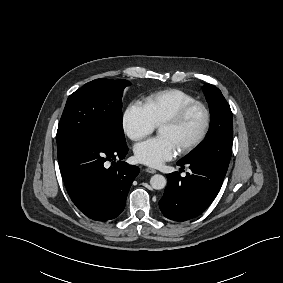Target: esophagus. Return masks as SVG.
I'll return each instance as SVG.
<instances>
[{
	"label": "esophagus",
	"instance_id": "34e87169",
	"mask_svg": "<svg viewBox=\"0 0 283 283\" xmlns=\"http://www.w3.org/2000/svg\"><path fill=\"white\" fill-rule=\"evenodd\" d=\"M146 170V172H148V173H150V174H155L157 171L155 170V169H153V168H146L145 169Z\"/></svg>",
	"mask_w": 283,
	"mask_h": 283
}]
</instances>
